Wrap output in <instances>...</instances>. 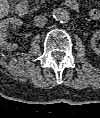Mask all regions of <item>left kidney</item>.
Wrapping results in <instances>:
<instances>
[{
  "label": "left kidney",
  "mask_w": 100,
  "mask_h": 118,
  "mask_svg": "<svg viewBox=\"0 0 100 118\" xmlns=\"http://www.w3.org/2000/svg\"><path fill=\"white\" fill-rule=\"evenodd\" d=\"M96 38H97V34H95L92 39H91V45H92V48L96 51H98V48H97V43H96Z\"/></svg>",
  "instance_id": "left-kidney-1"
}]
</instances>
